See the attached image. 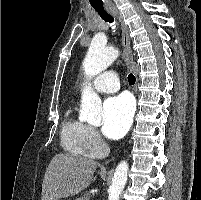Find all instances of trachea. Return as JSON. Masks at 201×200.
<instances>
[{"instance_id": "trachea-1", "label": "trachea", "mask_w": 201, "mask_h": 200, "mask_svg": "<svg viewBox=\"0 0 201 200\" xmlns=\"http://www.w3.org/2000/svg\"><path fill=\"white\" fill-rule=\"evenodd\" d=\"M93 8L105 22H109L110 24L114 22V18L107 12L103 5H96ZM128 82L130 85H134L136 82V78L132 73L128 75Z\"/></svg>"}]
</instances>
